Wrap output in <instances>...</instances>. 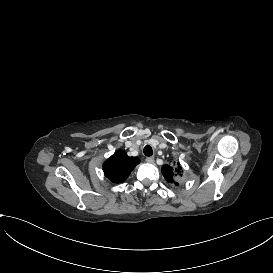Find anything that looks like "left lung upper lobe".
I'll use <instances>...</instances> for the list:
<instances>
[{
    "label": "left lung upper lobe",
    "instance_id": "5c2ea615",
    "mask_svg": "<svg viewBox=\"0 0 273 273\" xmlns=\"http://www.w3.org/2000/svg\"><path fill=\"white\" fill-rule=\"evenodd\" d=\"M161 170L163 176L168 182H174V178L179 175L181 168L179 165L176 167L175 164L173 166L166 164Z\"/></svg>",
    "mask_w": 273,
    "mask_h": 273
}]
</instances>
